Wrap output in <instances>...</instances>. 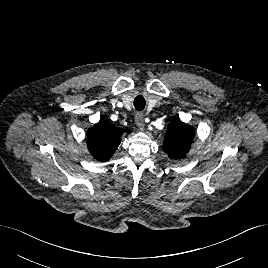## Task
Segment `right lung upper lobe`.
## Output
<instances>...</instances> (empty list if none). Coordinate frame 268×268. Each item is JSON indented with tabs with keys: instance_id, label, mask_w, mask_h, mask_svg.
Instances as JSON below:
<instances>
[{
	"instance_id": "obj_1",
	"label": "right lung upper lobe",
	"mask_w": 268,
	"mask_h": 268,
	"mask_svg": "<svg viewBox=\"0 0 268 268\" xmlns=\"http://www.w3.org/2000/svg\"><path fill=\"white\" fill-rule=\"evenodd\" d=\"M121 130L103 121H99L87 132V146L92 156L98 161H108L121 142Z\"/></svg>"
}]
</instances>
